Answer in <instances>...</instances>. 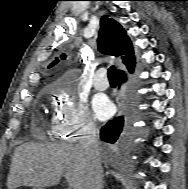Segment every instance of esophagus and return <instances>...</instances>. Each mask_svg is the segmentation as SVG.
Instances as JSON below:
<instances>
[{
    "label": "esophagus",
    "instance_id": "1",
    "mask_svg": "<svg viewBox=\"0 0 188 189\" xmlns=\"http://www.w3.org/2000/svg\"><path fill=\"white\" fill-rule=\"evenodd\" d=\"M118 114H120V105H119V111H118Z\"/></svg>",
    "mask_w": 188,
    "mask_h": 189
}]
</instances>
